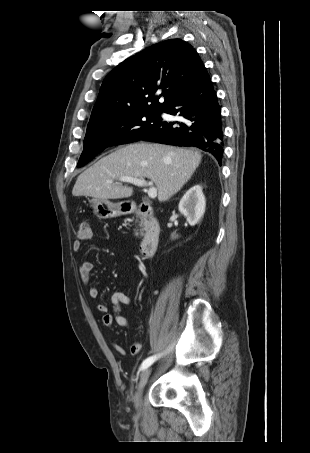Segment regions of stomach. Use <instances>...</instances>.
<instances>
[{
	"label": "stomach",
	"mask_w": 310,
	"mask_h": 453,
	"mask_svg": "<svg viewBox=\"0 0 310 453\" xmlns=\"http://www.w3.org/2000/svg\"><path fill=\"white\" fill-rule=\"evenodd\" d=\"M94 214L100 219L115 218L125 214L123 203H112L106 199L93 198L90 200Z\"/></svg>",
	"instance_id": "1"
}]
</instances>
